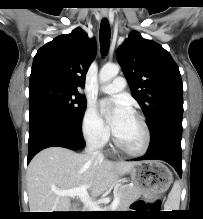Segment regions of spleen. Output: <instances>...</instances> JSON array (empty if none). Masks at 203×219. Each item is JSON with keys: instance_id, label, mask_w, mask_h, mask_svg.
<instances>
[{"instance_id": "3e777b00", "label": "spleen", "mask_w": 203, "mask_h": 219, "mask_svg": "<svg viewBox=\"0 0 203 219\" xmlns=\"http://www.w3.org/2000/svg\"><path fill=\"white\" fill-rule=\"evenodd\" d=\"M180 184L175 182L164 205L165 211L179 210L180 204Z\"/></svg>"}]
</instances>
